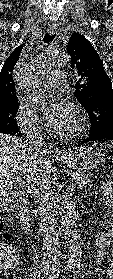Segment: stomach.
Masks as SVG:
<instances>
[{
    "label": "stomach",
    "instance_id": "stomach-1",
    "mask_svg": "<svg viewBox=\"0 0 113 279\" xmlns=\"http://www.w3.org/2000/svg\"><path fill=\"white\" fill-rule=\"evenodd\" d=\"M60 160L80 172L97 168L103 162V155L95 145L87 144L62 155Z\"/></svg>",
    "mask_w": 113,
    "mask_h": 279
}]
</instances>
